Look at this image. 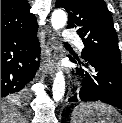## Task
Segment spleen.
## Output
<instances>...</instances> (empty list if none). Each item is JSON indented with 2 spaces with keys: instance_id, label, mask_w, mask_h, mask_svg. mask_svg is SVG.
Masks as SVG:
<instances>
[{
  "instance_id": "spleen-1",
  "label": "spleen",
  "mask_w": 122,
  "mask_h": 123,
  "mask_svg": "<svg viewBox=\"0 0 122 123\" xmlns=\"http://www.w3.org/2000/svg\"><path fill=\"white\" fill-rule=\"evenodd\" d=\"M120 118L119 112L101 102L81 103L72 112L71 123H114Z\"/></svg>"
}]
</instances>
